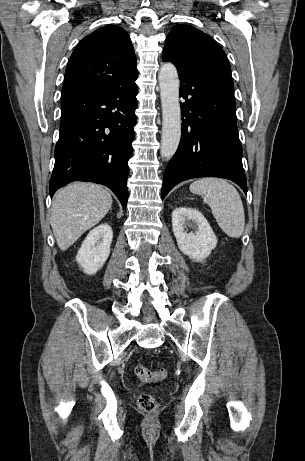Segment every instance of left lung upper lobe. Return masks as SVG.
I'll use <instances>...</instances> for the list:
<instances>
[{
	"instance_id": "5c2ea615",
	"label": "left lung upper lobe",
	"mask_w": 305,
	"mask_h": 461,
	"mask_svg": "<svg viewBox=\"0 0 305 461\" xmlns=\"http://www.w3.org/2000/svg\"><path fill=\"white\" fill-rule=\"evenodd\" d=\"M163 61L172 62L178 73L231 75L229 61L218 43L206 33L187 25H176L166 38Z\"/></svg>"
}]
</instances>
